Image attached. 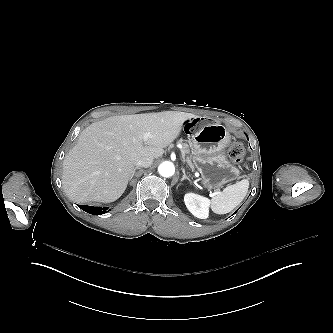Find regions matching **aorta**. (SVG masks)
<instances>
[{"mask_svg": "<svg viewBox=\"0 0 333 333\" xmlns=\"http://www.w3.org/2000/svg\"><path fill=\"white\" fill-rule=\"evenodd\" d=\"M158 172L163 177H171L175 173L174 164L170 161H165L159 165Z\"/></svg>", "mask_w": 333, "mask_h": 333, "instance_id": "obj_1", "label": "aorta"}]
</instances>
